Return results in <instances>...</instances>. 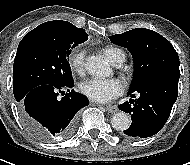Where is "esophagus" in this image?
I'll use <instances>...</instances> for the list:
<instances>
[{
  "mask_svg": "<svg viewBox=\"0 0 190 165\" xmlns=\"http://www.w3.org/2000/svg\"><path fill=\"white\" fill-rule=\"evenodd\" d=\"M104 107V109L107 111V112H110V113H115L118 111L117 107L116 106H111V105H104L102 106Z\"/></svg>",
  "mask_w": 190,
  "mask_h": 165,
  "instance_id": "1",
  "label": "esophagus"
}]
</instances>
